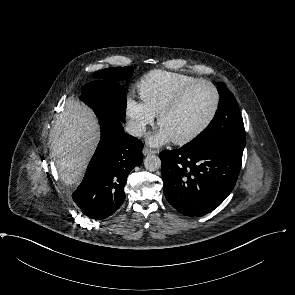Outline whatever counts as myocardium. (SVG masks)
I'll list each match as a JSON object with an SVG mask.
<instances>
[{
    "instance_id": "myocardium-1",
    "label": "myocardium",
    "mask_w": 295,
    "mask_h": 295,
    "mask_svg": "<svg viewBox=\"0 0 295 295\" xmlns=\"http://www.w3.org/2000/svg\"><path fill=\"white\" fill-rule=\"evenodd\" d=\"M200 84H205L209 86L214 92L215 105H214L213 111L210 117L208 118V120L194 133H192L191 135L185 138L174 140V143H176L177 145H187L196 141L212 126V124L217 118V115L219 113L220 106H221V95L217 86L208 79H197L194 82L182 88L158 114V124L161 126L163 119L167 115L175 111L181 105V103L186 98V96L190 93V91Z\"/></svg>"
}]
</instances>
